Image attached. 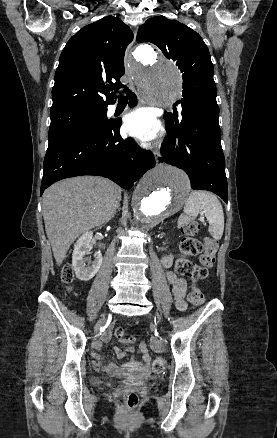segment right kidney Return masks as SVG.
Wrapping results in <instances>:
<instances>
[{
    "mask_svg": "<svg viewBox=\"0 0 277 438\" xmlns=\"http://www.w3.org/2000/svg\"><path fill=\"white\" fill-rule=\"evenodd\" d=\"M93 232H85L76 242V246L72 254L73 270L78 280L82 282H89L97 274L102 264V254L95 252L93 256V262L91 258H86L87 254L91 252L93 246H91ZM88 262V266H86Z\"/></svg>",
    "mask_w": 277,
    "mask_h": 438,
    "instance_id": "right-kidney-1",
    "label": "right kidney"
}]
</instances>
